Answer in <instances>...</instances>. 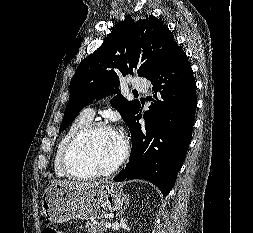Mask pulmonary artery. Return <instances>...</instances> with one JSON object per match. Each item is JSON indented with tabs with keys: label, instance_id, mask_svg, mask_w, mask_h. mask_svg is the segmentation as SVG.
Wrapping results in <instances>:
<instances>
[{
	"label": "pulmonary artery",
	"instance_id": "1",
	"mask_svg": "<svg viewBox=\"0 0 253 233\" xmlns=\"http://www.w3.org/2000/svg\"><path fill=\"white\" fill-rule=\"evenodd\" d=\"M131 85L135 91H138V92H141L144 94L147 93V90L149 87L148 81L144 80V79H134L132 81ZM81 114L83 116H86V117L92 119L95 115V108L94 107H86L81 111Z\"/></svg>",
	"mask_w": 253,
	"mask_h": 233
}]
</instances>
